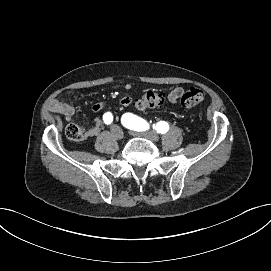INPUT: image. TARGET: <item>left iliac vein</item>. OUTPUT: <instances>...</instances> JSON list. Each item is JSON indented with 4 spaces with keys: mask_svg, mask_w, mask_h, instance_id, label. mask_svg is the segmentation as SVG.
I'll list each match as a JSON object with an SVG mask.
<instances>
[{
    "mask_svg": "<svg viewBox=\"0 0 271 271\" xmlns=\"http://www.w3.org/2000/svg\"><path fill=\"white\" fill-rule=\"evenodd\" d=\"M130 133L134 136L144 137L152 142H157L159 140V135L154 131H145V132L131 131Z\"/></svg>",
    "mask_w": 271,
    "mask_h": 271,
    "instance_id": "4c4485c4",
    "label": "left iliac vein"
}]
</instances>
